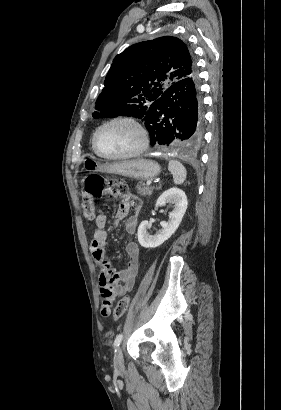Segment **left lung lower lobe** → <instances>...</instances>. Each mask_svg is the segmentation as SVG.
I'll list each match as a JSON object with an SVG mask.
<instances>
[{
    "label": "left lung lower lobe",
    "mask_w": 281,
    "mask_h": 410,
    "mask_svg": "<svg viewBox=\"0 0 281 410\" xmlns=\"http://www.w3.org/2000/svg\"><path fill=\"white\" fill-rule=\"evenodd\" d=\"M142 121L152 146L173 141L181 148L199 146L203 138V111L197 73L169 86Z\"/></svg>",
    "instance_id": "left-lung-lower-lobe-1"
}]
</instances>
